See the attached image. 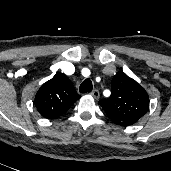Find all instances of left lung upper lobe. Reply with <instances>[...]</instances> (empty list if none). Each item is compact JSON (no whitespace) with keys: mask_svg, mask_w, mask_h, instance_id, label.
I'll list each match as a JSON object with an SVG mask.
<instances>
[{"mask_svg":"<svg viewBox=\"0 0 171 171\" xmlns=\"http://www.w3.org/2000/svg\"><path fill=\"white\" fill-rule=\"evenodd\" d=\"M111 88V96L100 100L99 104L114 123L133 125L148 111L147 92L125 73L118 72L113 77Z\"/></svg>","mask_w":171,"mask_h":171,"instance_id":"5c2ea615","label":"left lung upper lobe"}]
</instances>
